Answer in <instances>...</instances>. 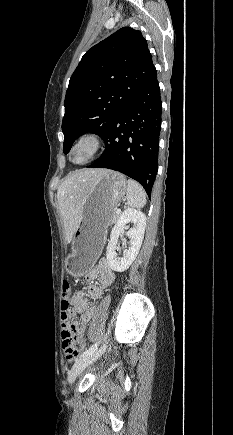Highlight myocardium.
Returning a JSON list of instances; mask_svg holds the SVG:
<instances>
[{"mask_svg": "<svg viewBox=\"0 0 233 435\" xmlns=\"http://www.w3.org/2000/svg\"><path fill=\"white\" fill-rule=\"evenodd\" d=\"M101 136L94 131H87L82 133L77 137V139L72 143L69 152L68 159L69 161L77 166H83L91 162L96 155L98 154L101 147ZM80 148H85L87 150V156L79 162H76L72 159V155L74 151Z\"/></svg>", "mask_w": 233, "mask_h": 435, "instance_id": "1", "label": "myocardium"}]
</instances>
